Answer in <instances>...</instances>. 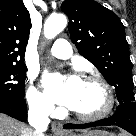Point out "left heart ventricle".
Here are the masks:
<instances>
[{
	"label": "left heart ventricle",
	"instance_id": "obj_1",
	"mask_svg": "<svg viewBox=\"0 0 136 136\" xmlns=\"http://www.w3.org/2000/svg\"><path fill=\"white\" fill-rule=\"evenodd\" d=\"M105 103L106 95L102 87L93 82L83 81L73 110L84 115H92L101 111Z\"/></svg>",
	"mask_w": 136,
	"mask_h": 136
}]
</instances>
